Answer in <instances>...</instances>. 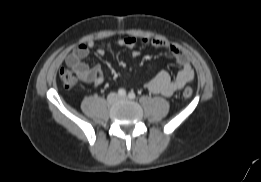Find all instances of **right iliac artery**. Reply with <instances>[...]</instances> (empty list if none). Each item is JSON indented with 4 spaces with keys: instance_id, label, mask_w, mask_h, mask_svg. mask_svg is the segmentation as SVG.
<instances>
[{
    "instance_id": "82829eb1",
    "label": "right iliac artery",
    "mask_w": 261,
    "mask_h": 182,
    "mask_svg": "<svg viewBox=\"0 0 261 182\" xmlns=\"http://www.w3.org/2000/svg\"><path fill=\"white\" fill-rule=\"evenodd\" d=\"M118 95L121 96V97H124L126 95V90L121 88L118 90Z\"/></svg>"
}]
</instances>
